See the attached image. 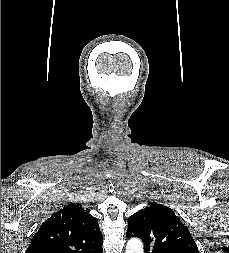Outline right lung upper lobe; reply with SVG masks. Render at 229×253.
I'll return each instance as SVG.
<instances>
[{"label":"right lung upper lobe","mask_w":229,"mask_h":253,"mask_svg":"<svg viewBox=\"0 0 229 253\" xmlns=\"http://www.w3.org/2000/svg\"><path fill=\"white\" fill-rule=\"evenodd\" d=\"M101 249L98 220L70 204L42 223L26 253H97Z\"/></svg>","instance_id":"1"}]
</instances>
